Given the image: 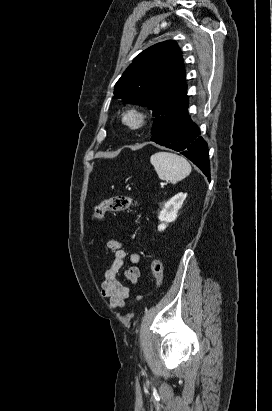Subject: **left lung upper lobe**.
I'll list each match as a JSON object with an SVG mask.
<instances>
[{
    "instance_id": "5c2ea615",
    "label": "left lung upper lobe",
    "mask_w": 272,
    "mask_h": 411,
    "mask_svg": "<svg viewBox=\"0 0 272 411\" xmlns=\"http://www.w3.org/2000/svg\"><path fill=\"white\" fill-rule=\"evenodd\" d=\"M115 98L147 106L155 115L156 133L188 103L185 69L175 41H164L141 52L115 84Z\"/></svg>"
}]
</instances>
